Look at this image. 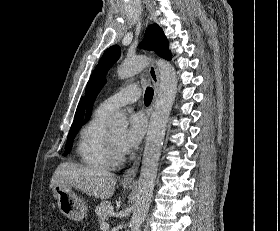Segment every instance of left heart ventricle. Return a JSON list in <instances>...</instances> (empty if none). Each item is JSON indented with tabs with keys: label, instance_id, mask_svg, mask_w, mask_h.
<instances>
[{
	"label": "left heart ventricle",
	"instance_id": "1",
	"mask_svg": "<svg viewBox=\"0 0 280 231\" xmlns=\"http://www.w3.org/2000/svg\"><path fill=\"white\" fill-rule=\"evenodd\" d=\"M108 133L110 134V136L113 139L116 147L118 148L117 143H118V140L121 137V135L124 133V130H113V131H110Z\"/></svg>",
	"mask_w": 280,
	"mask_h": 231
}]
</instances>
